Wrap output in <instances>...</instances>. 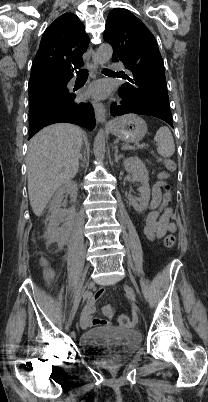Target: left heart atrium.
<instances>
[{
    "mask_svg": "<svg viewBox=\"0 0 208 402\" xmlns=\"http://www.w3.org/2000/svg\"><path fill=\"white\" fill-rule=\"evenodd\" d=\"M110 92V85L106 81H96L85 92L89 98H103Z\"/></svg>",
    "mask_w": 208,
    "mask_h": 402,
    "instance_id": "39dd6f15",
    "label": "left heart atrium"
}]
</instances>
